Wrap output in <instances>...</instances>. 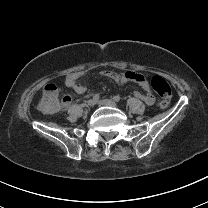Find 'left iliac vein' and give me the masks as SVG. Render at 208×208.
<instances>
[{"instance_id":"obj_1","label":"left iliac vein","mask_w":208,"mask_h":208,"mask_svg":"<svg viewBox=\"0 0 208 208\" xmlns=\"http://www.w3.org/2000/svg\"><path fill=\"white\" fill-rule=\"evenodd\" d=\"M100 105H105L109 107H117V103L111 99H103L98 102Z\"/></svg>"}]
</instances>
